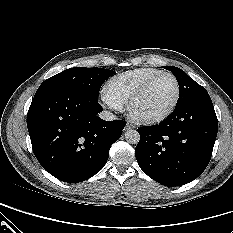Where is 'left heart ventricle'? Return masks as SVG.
<instances>
[{
  "label": "left heart ventricle",
  "mask_w": 233,
  "mask_h": 233,
  "mask_svg": "<svg viewBox=\"0 0 233 233\" xmlns=\"http://www.w3.org/2000/svg\"><path fill=\"white\" fill-rule=\"evenodd\" d=\"M175 83L169 76H160L147 89L135 104L134 112L143 116H152L164 112L174 100Z\"/></svg>",
  "instance_id": "b2bd125f"
}]
</instances>
